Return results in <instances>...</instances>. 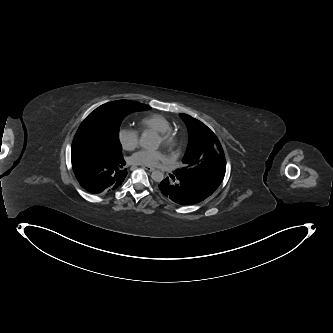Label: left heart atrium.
Wrapping results in <instances>:
<instances>
[{"label": "left heart atrium", "mask_w": 333, "mask_h": 333, "mask_svg": "<svg viewBox=\"0 0 333 333\" xmlns=\"http://www.w3.org/2000/svg\"><path fill=\"white\" fill-rule=\"evenodd\" d=\"M163 158V152L158 149H141L130 157V162L142 165H155Z\"/></svg>", "instance_id": "left-heart-atrium-1"}]
</instances>
